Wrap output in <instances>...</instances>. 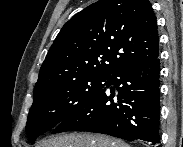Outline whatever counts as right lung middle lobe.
I'll use <instances>...</instances> for the list:
<instances>
[{"label":"right lung middle lobe","instance_id":"dd1d6c3e","mask_svg":"<svg viewBox=\"0 0 183 147\" xmlns=\"http://www.w3.org/2000/svg\"><path fill=\"white\" fill-rule=\"evenodd\" d=\"M110 77L85 76L34 90V101L26 124L28 141L55 128L90 97L101 90Z\"/></svg>","mask_w":183,"mask_h":147}]
</instances>
